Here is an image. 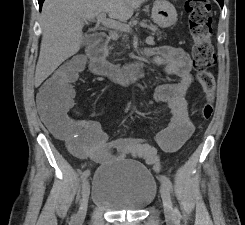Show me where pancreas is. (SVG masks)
I'll return each instance as SVG.
<instances>
[{"label":"pancreas","mask_w":245,"mask_h":225,"mask_svg":"<svg viewBox=\"0 0 245 225\" xmlns=\"http://www.w3.org/2000/svg\"><path fill=\"white\" fill-rule=\"evenodd\" d=\"M148 28L151 29L154 33H157V34L160 33L159 30H158V27L153 25V24H150L148 26ZM111 49H113V47H109V50H111ZM107 53H108V50H107Z\"/></svg>","instance_id":"obj_1"}]
</instances>
